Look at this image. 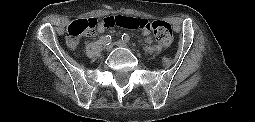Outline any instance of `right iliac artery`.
Masks as SVG:
<instances>
[{
	"label": "right iliac artery",
	"instance_id": "right-iliac-artery-1",
	"mask_svg": "<svg viewBox=\"0 0 255 122\" xmlns=\"http://www.w3.org/2000/svg\"><path fill=\"white\" fill-rule=\"evenodd\" d=\"M112 36L111 35H106L103 37L102 42L104 45H109L111 43Z\"/></svg>",
	"mask_w": 255,
	"mask_h": 122
}]
</instances>
